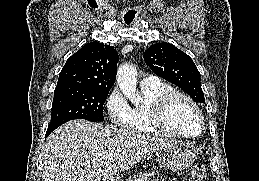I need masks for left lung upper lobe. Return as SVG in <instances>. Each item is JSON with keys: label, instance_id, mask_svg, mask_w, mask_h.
Segmentation results:
<instances>
[{"label": "left lung upper lobe", "instance_id": "1", "mask_svg": "<svg viewBox=\"0 0 259 181\" xmlns=\"http://www.w3.org/2000/svg\"><path fill=\"white\" fill-rule=\"evenodd\" d=\"M144 60L155 74L184 90L196 103H205L200 73L186 53L163 42L149 47Z\"/></svg>", "mask_w": 259, "mask_h": 181}]
</instances>
